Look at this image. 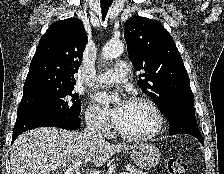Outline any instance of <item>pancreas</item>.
<instances>
[{
    "label": "pancreas",
    "instance_id": "pancreas-1",
    "mask_svg": "<svg viewBox=\"0 0 224 174\" xmlns=\"http://www.w3.org/2000/svg\"><path fill=\"white\" fill-rule=\"evenodd\" d=\"M126 170L129 171V174H147V172L136 169L135 167H133L131 165H127Z\"/></svg>",
    "mask_w": 224,
    "mask_h": 174
}]
</instances>
